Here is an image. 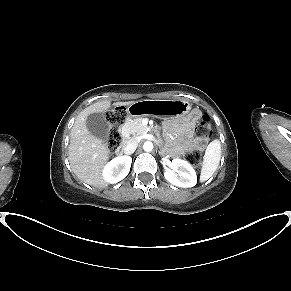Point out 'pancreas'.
<instances>
[{
    "label": "pancreas",
    "instance_id": "pancreas-1",
    "mask_svg": "<svg viewBox=\"0 0 291 291\" xmlns=\"http://www.w3.org/2000/svg\"><path fill=\"white\" fill-rule=\"evenodd\" d=\"M143 118H136L134 120H128L124 126L122 127V133L132 134L134 136H139L144 134L146 131H148V127L143 125L142 123Z\"/></svg>",
    "mask_w": 291,
    "mask_h": 291
}]
</instances>
